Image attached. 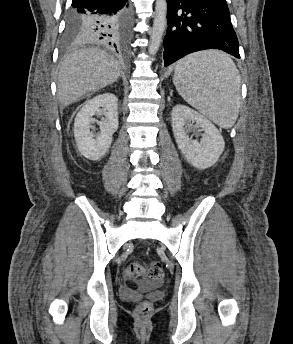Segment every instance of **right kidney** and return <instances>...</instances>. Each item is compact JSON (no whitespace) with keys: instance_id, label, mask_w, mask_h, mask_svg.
Listing matches in <instances>:
<instances>
[{"instance_id":"obj_1","label":"right kidney","mask_w":293,"mask_h":344,"mask_svg":"<svg viewBox=\"0 0 293 344\" xmlns=\"http://www.w3.org/2000/svg\"><path fill=\"white\" fill-rule=\"evenodd\" d=\"M96 114L105 118L98 122L100 133L95 136L90 129ZM118 125V98L114 94L103 93L88 100L74 121V137L79 152L89 160H100L111 146Z\"/></svg>"}]
</instances>
